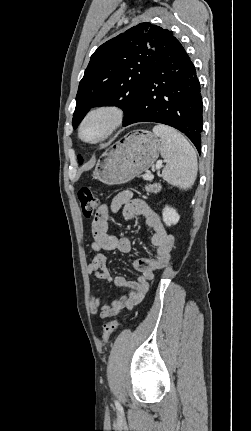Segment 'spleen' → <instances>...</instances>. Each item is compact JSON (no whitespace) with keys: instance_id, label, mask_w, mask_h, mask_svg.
I'll return each instance as SVG.
<instances>
[{"instance_id":"obj_1","label":"spleen","mask_w":251,"mask_h":431,"mask_svg":"<svg viewBox=\"0 0 251 431\" xmlns=\"http://www.w3.org/2000/svg\"><path fill=\"white\" fill-rule=\"evenodd\" d=\"M153 133L161 138V156L166 160L163 179L181 189L191 188L198 171L193 147L181 133L167 125H156Z\"/></svg>"}]
</instances>
